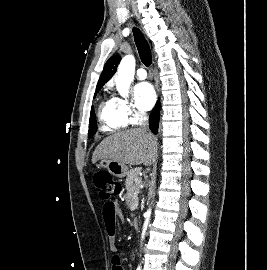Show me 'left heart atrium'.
I'll list each match as a JSON object with an SVG mask.
<instances>
[{"label": "left heart atrium", "instance_id": "obj_1", "mask_svg": "<svg viewBox=\"0 0 267 270\" xmlns=\"http://www.w3.org/2000/svg\"><path fill=\"white\" fill-rule=\"evenodd\" d=\"M136 106L141 111H147L155 103L156 95L152 85L148 82H140L134 88Z\"/></svg>", "mask_w": 267, "mask_h": 270}]
</instances>
